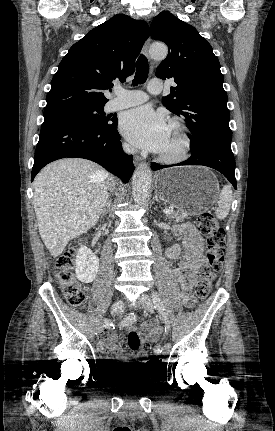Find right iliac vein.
Instances as JSON below:
<instances>
[{"label": "right iliac vein", "mask_w": 275, "mask_h": 431, "mask_svg": "<svg viewBox=\"0 0 275 431\" xmlns=\"http://www.w3.org/2000/svg\"><path fill=\"white\" fill-rule=\"evenodd\" d=\"M123 310H124L123 300H119L112 305L110 312L113 315V314H119L123 312ZM103 329H104L103 323H99L97 326V332L101 333Z\"/></svg>", "instance_id": "63e3f726"}]
</instances>
